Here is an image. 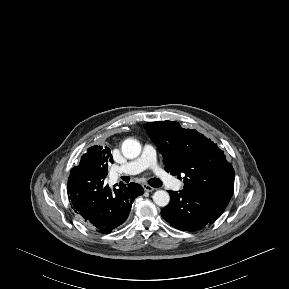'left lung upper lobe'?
I'll use <instances>...</instances> for the list:
<instances>
[{
    "instance_id": "obj_1",
    "label": "left lung upper lobe",
    "mask_w": 289,
    "mask_h": 289,
    "mask_svg": "<svg viewBox=\"0 0 289 289\" xmlns=\"http://www.w3.org/2000/svg\"><path fill=\"white\" fill-rule=\"evenodd\" d=\"M164 158L165 170L185 174L184 189L227 206L234 190V169L217 144L178 122L158 121L144 125Z\"/></svg>"
}]
</instances>
